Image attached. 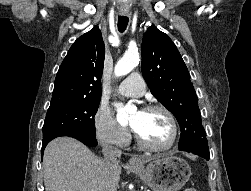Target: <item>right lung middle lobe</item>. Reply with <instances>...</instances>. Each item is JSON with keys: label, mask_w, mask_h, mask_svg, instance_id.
<instances>
[{"label": "right lung middle lobe", "mask_w": 251, "mask_h": 191, "mask_svg": "<svg viewBox=\"0 0 251 191\" xmlns=\"http://www.w3.org/2000/svg\"><path fill=\"white\" fill-rule=\"evenodd\" d=\"M100 100L68 102L50 106L43 125V141L65 131L96 136L94 116Z\"/></svg>", "instance_id": "right-lung-middle-lobe-1"}]
</instances>
